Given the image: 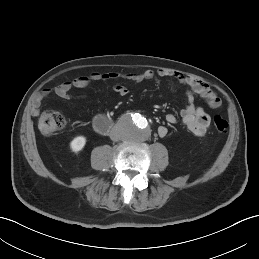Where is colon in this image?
Listing matches in <instances>:
<instances>
[{
  "instance_id": "obj_1",
  "label": "colon",
  "mask_w": 259,
  "mask_h": 259,
  "mask_svg": "<svg viewBox=\"0 0 259 259\" xmlns=\"http://www.w3.org/2000/svg\"><path fill=\"white\" fill-rule=\"evenodd\" d=\"M65 116L57 110H47L39 118V129L45 136H51L57 133L65 126ZM213 125L218 133H224L228 128L227 121L221 116H215Z\"/></svg>"
}]
</instances>
